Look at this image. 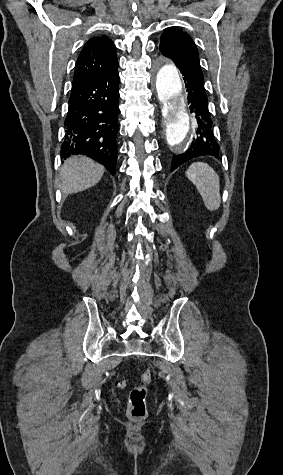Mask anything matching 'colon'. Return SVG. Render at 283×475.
Segmentation results:
<instances>
[{
  "label": "colon",
  "instance_id": "5ec220e1",
  "mask_svg": "<svg viewBox=\"0 0 283 475\" xmlns=\"http://www.w3.org/2000/svg\"><path fill=\"white\" fill-rule=\"evenodd\" d=\"M152 375L153 371L146 369L130 390L127 409L129 416L133 419L140 420L147 415V386L152 380Z\"/></svg>",
  "mask_w": 283,
  "mask_h": 475
}]
</instances>
